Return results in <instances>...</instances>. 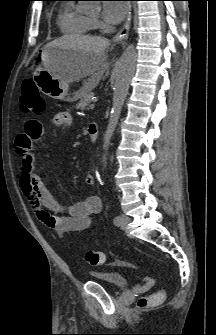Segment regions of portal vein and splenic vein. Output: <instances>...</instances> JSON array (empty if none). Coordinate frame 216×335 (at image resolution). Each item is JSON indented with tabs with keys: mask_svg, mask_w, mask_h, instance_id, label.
<instances>
[{
	"mask_svg": "<svg viewBox=\"0 0 216 335\" xmlns=\"http://www.w3.org/2000/svg\"><path fill=\"white\" fill-rule=\"evenodd\" d=\"M94 106H95V104L93 103V104H90V108L91 109H93L94 108Z\"/></svg>",
	"mask_w": 216,
	"mask_h": 335,
	"instance_id": "obj_1",
	"label": "portal vein and splenic vein"
}]
</instances>
